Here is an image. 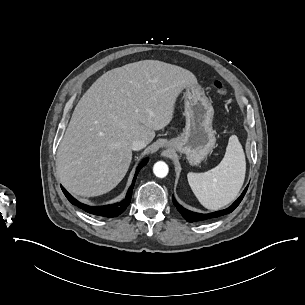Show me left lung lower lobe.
<instances>
[{
  "label": "left lung lower lobe",
  "instance_id": "1",
  "mask_svg": "<svg viewBox=\"0 0 305 305\" xmlns=\"http://www.w3.org/2000/svg\"><path fill=\"white\" fill-rule=\"evenodd\" d=\"M248 189V186L245 188V190L243 191V193L240 195V197L228 208L224 209V210H220V211H216L213 213H208V214H202V213H196V212H192L190 210H187L185 208H183L174 198V196L172 197L173 203L174 205L177 207L178 211L181 213V215L188 221V222H195V221H204V220H208V219H212V218H216L219 216H223L225 214L231 213L238 205L239 203L242 201L246 191Z\"/></svg>",
  "mask_w": 305,
  "mask_h": 305
}]
</instances>
